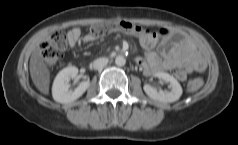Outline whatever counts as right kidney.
<instances>
[{
	"mask_svg": "<svg viewBox=\"0 0 238 145\" xmlns=\"http://www.w3.org/2000/svg\"><path fill=\"white\" fill-rule=\"evenodd\" d=\"M77 74L78 68L75 66H68L57 74L52 87L53 99L56 102L62 104L73 102L81 97L83 93L88 89V87L90 86L89 80L81 82L74 91L69 89L70 79L75 78Z\"/></svg>",
	"mask_w": 238,
	"mask_h": 145,
	"instance_id": "1",
	"label": "right kidney"
}]
</instances>
